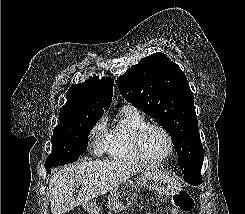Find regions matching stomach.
Here are the masks:
<instances>
[{"label":"stomach","mask_w":245,"mask_h":214,"mask_svg":"<svg viewBox=\"0 0 245 214\" xmlns=\"http://www.w3.org/2000/svg\"><path fill=\"white\" fill-rule=\"evenodd\" d=\"M139 187L148 188L163 196H173L181 190L180 182L164 173L145 171L135 181L126 180L120 186L110 191L108 195L109 209L119 212L128 208L138 197ZM87 214H98L94 203H85Z\"/></svg>","instance_id":"1"}]
</instances>
